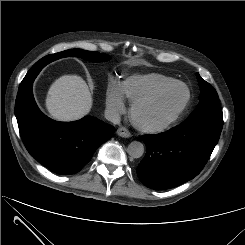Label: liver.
<instances>
[{
    "mask_svg": "<svg viewBox=\"0 0 245 245\" xmlns=\"http://www.w3.org/2000/svg\"><path fill=\"white\" fill-rule=\"evenodd\" d=\"M92 96L87 83L77 75H63L50 86L46 109L58 121H75L87 115Z\"/></svg>",
    "mask_w": 245,
    "mask_h": 245,
    "instance_id": "obj_1",
    "label": "liver"
}]
</instances>
